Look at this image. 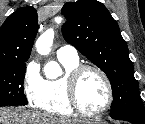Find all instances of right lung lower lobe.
I'll list each match as a JSON object with an SVG mask.
<instances>
[{
    "label": "right lung lower lobe",
    "mask_w": 145,
    "mask_h": 124,
    "mask_svg": "<svg viewBox=\"0 0 145 124\" xmlns=\"http://www.w3.org/2000/svg\"><path fill=\"white\" fill-rule=\"evenodd\" d=\"M10 106H17V105H10ZM0 107H4V106H0Z\"/></svg>",
    "instance_id": "98d812e1"
}]
</instances>
